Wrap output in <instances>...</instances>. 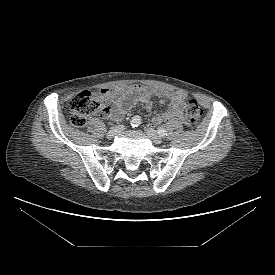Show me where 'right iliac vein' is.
<instances>
[{
    "label": "right iliac vein",
    "instance_id": "1",
    "mask_svg": "<svg viewBox=\"0 0 275 275\" xmlns=\"http://www.w3.org/2000/svg\"><path fill=\"white\" fill-rule=\"evenodd\" d=\"M124 127L122 125L113 127L112 129H110L107 133V138L108 139H112L114 138L116 135H118L119 133H121L123 131Z\"/></svg>",
    "mask_w": 275,
    "mask_h": 275
}]
</instances>
